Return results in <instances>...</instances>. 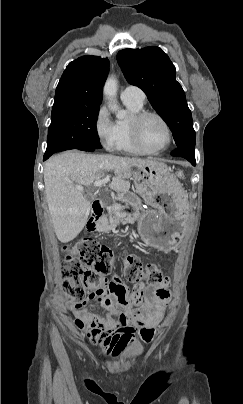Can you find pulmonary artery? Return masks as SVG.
Listing matches in <instances>:
<instances>
[{"label":"pulmonary artery","mask_w":243,"mask_h":404,"mask_svg":"<svg viewBox=\"0 0 243 404\" xmlns=\"http://www.w3.org/2000/svg\"><path fill=\"white\" fill-rule=\"evenodd\" d=\"M121 97H136L137 99L144 101L145 100V94L144 92L134 86V85H126L121 89Z\"/></svg>","instance_id":"obj_1"}]
</instances>
